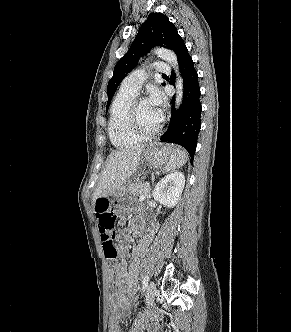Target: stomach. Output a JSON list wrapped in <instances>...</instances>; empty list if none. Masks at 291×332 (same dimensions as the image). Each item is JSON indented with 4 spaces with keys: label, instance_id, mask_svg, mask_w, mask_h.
Masks as SVG:
<instances>
[{
    "label": "stomach",
    "instance_id": "obj_1",
    "mask_svg": "<svg viewBox=\"0 0 291 332\" xmlns=\"http://www.w3.org/2000/svg\"><path fill=\"white\" fill-rule=\"evenodd\" d=\"M177 155V149L170 145H164L160 143H152L146 148L141 157L143 164L150 166L153 169L161 168L166 166L169 161ZM115 200L113 205L117 212L127 207L131 199L127 196L125 188H120L114 193Z\"/></svg>",
    "mask_w": 291,
    "mask_h": 332
}]
</instances>
